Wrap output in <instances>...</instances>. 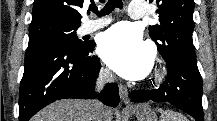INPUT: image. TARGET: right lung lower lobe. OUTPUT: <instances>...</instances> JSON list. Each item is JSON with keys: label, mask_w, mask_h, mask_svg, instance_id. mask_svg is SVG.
Masks as SVG:
<instances>
[{"label": "right lung lower lobe", "mask_w": 217, "mask_h": 121, "mask_svg": "<svg viewBox=\"0 0 217 121\" xmlns=\"http://www.w3.org/2000/svg\"><path fill=\"white\" fill-rule=\"evenodd\" d=\"M93 41L74 46L62 42L42 43L27 48L19 92V121H28L51 102L65 98H94V84L101 67L89 56ZM108 106H117L116 84H107L98 96Z\"/></svg>", "instance_id": "98d812e1"}]
</instances>
